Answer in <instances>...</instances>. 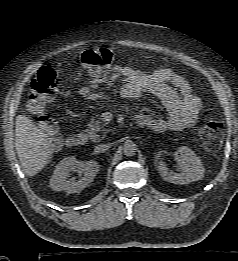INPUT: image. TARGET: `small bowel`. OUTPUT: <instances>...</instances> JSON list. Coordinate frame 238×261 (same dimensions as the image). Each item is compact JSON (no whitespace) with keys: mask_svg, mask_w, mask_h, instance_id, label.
<instances>
[{"mask_svg":"<svg viewBox=\"0 0 238 261\" xmlns=\"http://www.w3.org/2000/svg\"><path fill=\"white\" fill-rule=\"evenodd\" d=\"M117 83L118 93L126 99H137L145 93L160 99L168 117H152L141 114L138 122L156 132L181 131L192 127L199 116L202 102L188 81L169 68H161L152 73L136 70L128 66H114L103 77H93L87 85L79 89V95L88 100L108 99Z\"/></svg>","mask_w":238,"mask_h":261,"instance_id":"obj_1","label":"small bowel"}]
</instances>
